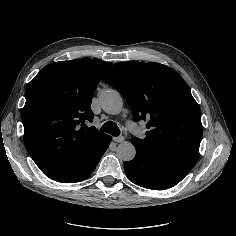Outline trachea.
I'll use <instances>...</instances> for the list:
<instances>
[{
  "label": "trachea",
  "mask_w": 236,
  "mask_h": 236,
  "mask_svg": "<svg viewBox=\"0 0 236 236\" xmlns=\"http://www.w3.org/2000/svg\"><path fill=\"white\" fill-rule=\"evenodd\" d=\"M101 130L103 132L109 133L115 137H118L120 135V129L117 126V124L113 121H107L105 122L102 127Z\"/></svg>",
  "instance_id": "obj_1"
}]
</instances>
